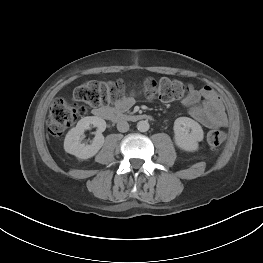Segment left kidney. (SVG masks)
<instances>
[{"mask_svg": "<svg viewBox=\"0 0 263 263\" xmlns=\"http://www.w3.org/2000/svg\"><path fill=\"white\" fill-rule=\"evenodd\" d=\"M175 143L185 151L198 149V142L203 140L204 133L199 123L188 117H179L174 122Z\"/></svg>", "mask_w": 263, "mask_h": 263, "instance_id": "obj_1", "label": "left kidney"}]
</instances>
